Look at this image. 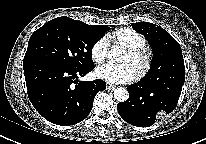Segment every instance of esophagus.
Masks as SVG:
<instances>
[{"label":"esophagus","mask_w":206,"mask_h":144,"mask_svg":"<svg viewBox=\"0 0 206 144\" xmlns=\"http://www.w3.org/2000/svg\"><path fill=\"white\" fill-rule=\"evenodd\" d=\"M106 88H107L108 90H114V89L116 88V86H115V85H112V84L107 83Z\"/></svg>","instance_id":"1"}]
</instances>
